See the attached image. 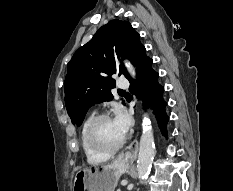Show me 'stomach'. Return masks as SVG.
<instances>
[{
    "label": "stomach",
    "mask_w": 233,
    "mask_h": 191,
    "mask_svg": "<svg viewBox=\"0 0 233 191\" xmlns=\"http://www.w3.org/2000/svg\"><path fill=\"white\" fill-rule=\"evenodd\" d=\"M127 162L116 160L101 167L80 169L74 178L73 191H114Z\"/></svg>",
    "instance_id": "obj_1"
}]
</instances>
